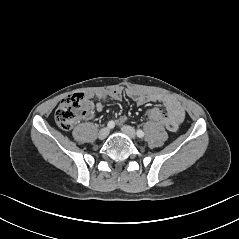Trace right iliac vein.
Returning a JSON list of instances; mask_svg holds the SVG:
<instances>
[{
	"instance_id": "obj_1",
	"label": "right iliac vein",
	"mask_w": 239,
	"mask_h": 239,
	"mask_svg": "<svg viewBox=\"0 0 239 239\" xmlns=\"http://www.w3.org/2000/svg\"><path fill=\"white\" fill-rule=\"evenodd\" d=\"M109 134V129L108 128H102L99 133H98V138L100 140H104Z\"/></svg>"
}]
</instances>
